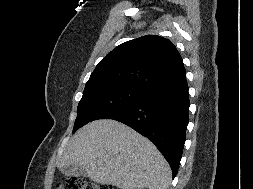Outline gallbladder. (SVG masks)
Returning a JSON list of instances; mask_svg holds the SVG:
<instances>
[{
	"label": "gallbladder",
	"instance_id": "gallbladder-1",
	"mask_svg": "<svg viewBox=\"0 0 253 189\" xmlns=\"http://www.w3.org/2000/svg\"><path fill=\"white\" fill-rule=\"evenodd\" d=\"M61 172L66 176H87L86 170L78 164L63 167Z\"/></svg>",
	"mask_w": 253,
	"mask_h": 189
}]
</instances>
